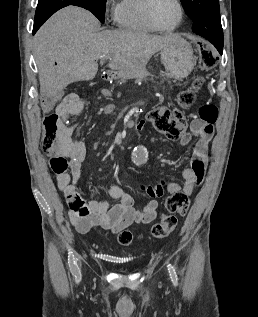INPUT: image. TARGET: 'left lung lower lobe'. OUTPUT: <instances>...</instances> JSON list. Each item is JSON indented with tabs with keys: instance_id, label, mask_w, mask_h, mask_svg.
Returning a JSON list of instances; mask_svg holds the SVG:
<instances>
[{
	"instance_id": "obj_1",
	"label": "left lung lower lobe",
	"mask_w": 258,
	"mask_h": 317,
	"mask_svg": "<svg viewBox=\"0 0 258 317\" xmlns=\"http://www.w3.org/2000/svg\"><path fill=\"white\" fill-rule=\"evenodd\" d=\"M196 34L209 40L219 51L220 54L223 52V31L222 28L215 27H200L192 29Z\"/></svg>"
}]
</instances>
